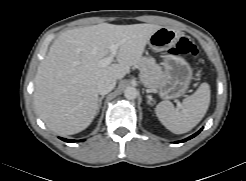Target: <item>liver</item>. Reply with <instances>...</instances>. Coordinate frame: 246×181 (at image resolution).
<instances>
[{
	"mask_svg": "<svg viewBox=\"0 0 246 181\" xmlns=\"http://www.w3.org/2000/svg\"><path fill=\"white\" fill-rule=\"evenodd\" d=\"M155 24L98 25L63 32L51 45L35 76L34 105L46 126L60 135L86 129L97 114V82L108 76L122 79L141 60ZM118 44V63L99 61Z\"/></svg>",
	"mask_w": 246,
	"mask_h": 181,
	"instance_id": "6515ba94",
	"label": "liver"
}]
</instances>
